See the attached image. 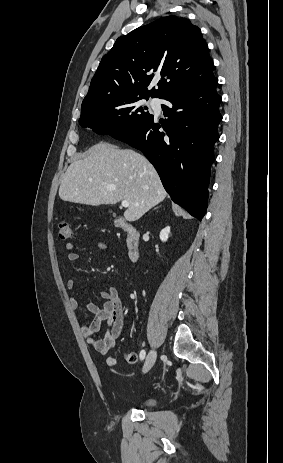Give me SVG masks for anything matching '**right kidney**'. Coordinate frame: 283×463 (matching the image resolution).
I'll list each match as a JSON object with an SVG mask.
<instances>
[{
  "label": "right kidney",
  "mask_w": 283,
  "mask_h": 463,
  "mask_svg": "<svg viewBox=\"0 0 283 463\" xmlns=\"http://www.w3.org/2000/svg\"><path fill=\"white\" fill-rule=\"evenodd\" d=\"M169 234H170V227L167 226V227H165L164 229L161 230L160 235H159L160 240L162 242H166L168 237H169Z\"/></svg>",
  "instance_id": "ca27d5eb"
}]
</instances>
